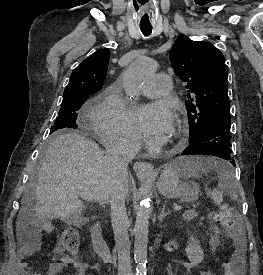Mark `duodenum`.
Listing matches in <instances>:
<instances>
[{"label": "duodenum", "instance_id": "410a0bca", "mask_svg": "<svg viewBox=\"0 0 263 275\" xmlns=\"http://www.w3.org/2000/svg\"><path fill=\"white\" fill-rule=\"evenodd\" d=\"M92 244L95 252L106 262L112 259V254L106 242L100 222H96L91 228Z\"/></svg>", "mask_w": 263, "mask_h": 275}]
</instances>
